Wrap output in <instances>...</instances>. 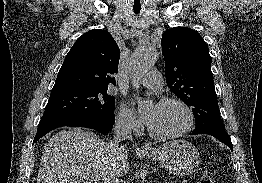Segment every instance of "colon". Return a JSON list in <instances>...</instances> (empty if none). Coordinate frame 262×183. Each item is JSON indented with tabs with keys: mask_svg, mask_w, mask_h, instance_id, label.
Wrapping results in <instances>:
<instances>
[{
	"mask_svg": "<svg viewBox=\"0 0 262 183\" xmlns=\"http://www.w3.org/2000/svg\"><path fill=\"white\" fill-rule=\"evenodd\" d=\"M199 183H214V180L211 176L209 175H203L200 178V182Z\"/></svg>",
	"mask_w": 262,
	"mask_h": 183,
	"instance_id": "5ec220e1",
	"label": "colon"
}]
</instances>
